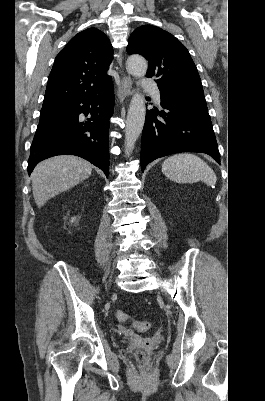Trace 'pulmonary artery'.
Here are the masks:
<instances>
[{
    "instance_id": "obj_1",
    "label": "pulmonary artery",
    "mask_w": 265,
    "mask_h": 401,
    "mask_svg": "<svg viewBox=\"0 0 265 401\" xmlns=\"http://www.w3.org/2000/svg\"><path fill=\"white\" fill-rule=\"evenodd\" d=\"M140 83L142 84V89L143 90H154L153 91V98L156 103H160V93L158 89H155V82L150 81V78L148 75H141L139 78Z\"/></svg>"
}]
</instances>
